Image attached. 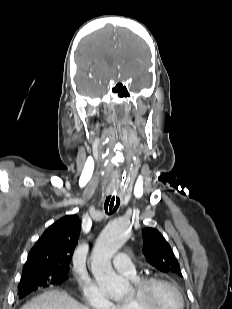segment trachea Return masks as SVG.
Instances as JSON below:
<instances>
[{
  "instance_id": "obj_1",
  "label": "trachea",
  "mask_w": 232,
  "mask_h": 309,
  "mask_svg": "<svg viewBox=\"0 0 232 309\" xmlns=\"http://www.w3.org/2000/svg\"><path fill=\"white\" fill-rule=\"evenodd\" d=\"M120 205V198L118 197L117 186L111 191L110 195L106 198L104 209L107 214L115 213Z\"/></svg>"
}]
</instances>
